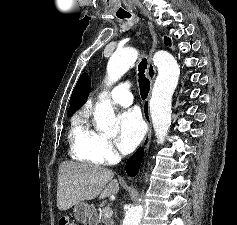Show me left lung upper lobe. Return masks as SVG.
Instances as JSON below:
<instances>
[{
  "label": "left lung upper lobe",
  "instance_id": "1",
  "mask_svg": "<svg viewBox=\"0 0 237 225\" xmlns=\"http://www.w3.org/2000/svg\"><path fill=\"white\" fill-rule=\"evenodd\" d=\"M169 43H170V39H166L165 44H169Z\"/></svg>",
  "mask_w": 237,
  "mask_h": 225
}]
</instances>
